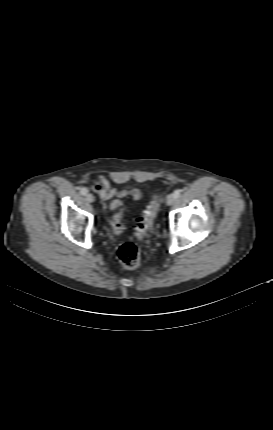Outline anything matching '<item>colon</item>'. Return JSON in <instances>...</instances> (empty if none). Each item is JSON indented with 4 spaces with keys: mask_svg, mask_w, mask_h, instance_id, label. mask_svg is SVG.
<instances>
[{
    "mask_svg": "<svg viewBox=\"0 0 273 430\" xmlns=\"http://www.w3.org/2000/svg\"><path fill=\"white\" fill-rule=\"evenodd\" d=\"M160 206V195L155 194L152 196L147 208L141 213L136 223L137 239H143L152 229L154 220L157 216ZM110 209H117L118 211L113 215L111 224L113 230L117 234H121L124 230L122 223L124 205L120 200H113L110 203ZM118 258L121 264L128 269H135L140 265V252L138 247L133 242H125L120 245L118 249Z\"/></svg>",
    "mask_w": 273,
    "mask_h": 430,
    "instance_id": "colon-1",
    "label": "colon"
}]
</instances>
